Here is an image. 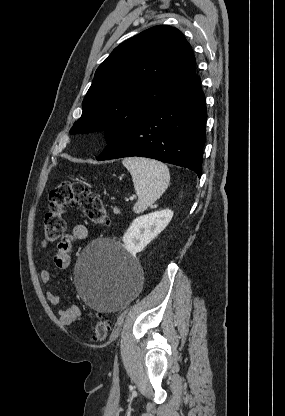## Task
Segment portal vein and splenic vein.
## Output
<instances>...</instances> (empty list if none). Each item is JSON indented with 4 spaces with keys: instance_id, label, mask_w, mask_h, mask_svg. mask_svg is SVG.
Listing matches in <instances>:
<instances>
[{
    "instance_id": "portal-vein-and-splenic-vein-1",
    "label": "portal vein and splenic vein",
    "mask_w": 285,
    "mask_h": 416,
    "mask_svg": "<svg viewBox=\"0 0 285 416\" xmlns=\"http://www.w3.org/2000/svg\"><path fill=\"white\" fill-rule=\"evenodd\" d=\"M136 196H133V198H129V200H135Z\"/></svg>"
}]
</instances>
